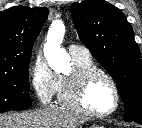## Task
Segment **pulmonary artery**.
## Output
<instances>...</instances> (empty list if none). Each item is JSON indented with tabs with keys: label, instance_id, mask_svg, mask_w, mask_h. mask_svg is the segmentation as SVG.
Returning <instances> with one entry per match:
<instances>
[{
	"label": "pulmonary artery",
	"instance_id": "pulmonary-artery-1",
	"mask_svg": "<svg viewBox=\"0 0 142 128\" xmlns=\"http://www.w3.org/2000/svg\"><path fill=\"white\" fill-rule=\"evenodd\" d=\"M68 51L73 58H77V59H89L90 58V52L84 46L71 44L68 47Z\"/></svg>",
	"mask_w": 142,
	"mask_h": 128
}]
</instances>
